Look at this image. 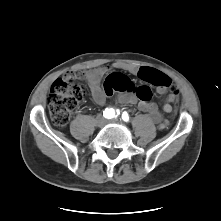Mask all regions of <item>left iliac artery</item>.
I'll return each mask as SVG.
<instances>
[{"label": "left iliac artery", "instance_id": "44dca946", "mask_svg": "<svg viewBox=\"0 0 221 221\" xmlns=\"http://www.w3.org/2000/svg\"><path fill=\"white\" fill-rule=\"evenodd\" d=\"M122 119H123L125 122L129 121V115H128L127 112H123V113H122Z\"/></svg>", "mask_w": 221, "mask_h": 221}]
</instances>
